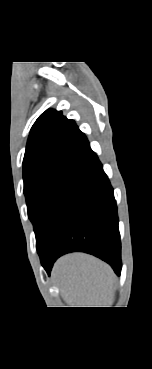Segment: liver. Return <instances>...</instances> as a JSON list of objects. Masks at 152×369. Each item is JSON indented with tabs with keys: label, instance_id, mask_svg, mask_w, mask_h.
<instances>
[{
	"label": "liver",
	"instance_id": "obj_1",
	"mask_svg": "<svg viewBox=\"0 0 152 369\" xmlns=\"http://www.w3.org/2000/svg\"><path fill=\"white\" fill-rule=\"evenodd\" d=\"M53 277L63 299L69 305H77L72 307H110L114 302L116 276L109 265L93 256H63L54 265Z\"/></svg>",
	"mask_w": 152,
	"mask_h": 369
}]
</instances>
